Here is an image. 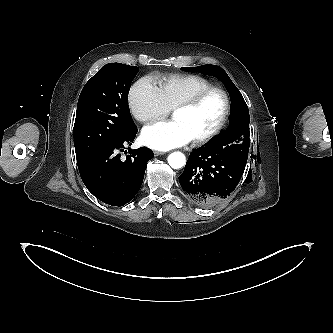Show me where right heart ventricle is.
I'll return each instance as SVG.
<instances>
[{
	"mask_svg": "<svg viewBox=\"0 0 333 333\" xmlns=\"http://www.w3.org/2000/svg\"><path fill=\"white\" fill-rule=\"evenodd\" d=\"M211 86L208 79L193 74H173L158 81V89L169 110Z\"/></svg>",
	"mask_w": 333,
	"mask_h": 333,
	"instance_id": "obj_1",
	"label": "right heart ventricle"
}]
</instances>
